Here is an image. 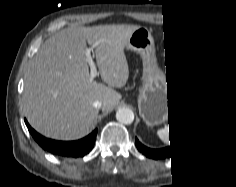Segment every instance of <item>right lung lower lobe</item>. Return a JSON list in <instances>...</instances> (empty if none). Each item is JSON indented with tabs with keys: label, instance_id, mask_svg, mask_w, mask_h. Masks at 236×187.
Masks as SVG:
<instances>
[{
	"label": "right lung lower lobe",
	"instance_id": "1",
	"mask_svg": "<svg viewBox=\"0 0 236 187\" xmlns=\"http://www.w3.org/2000/svg\"><path fill=\"white\" fill-rule=\"evenodd\" d=\"M28 130L34 140L48 152L64 157H83L88 154L94 146L97 129H95L87 137L78 141H55L52 139L45 138L38 134L30 125L26 122Z\"/></svg>",
	"mask_w": 236,
	"mask_h": 187
}]
</instances>
